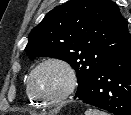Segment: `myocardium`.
Segmentation results:
<instances>
[{"mask_svg": "<svg viewBox=\"0 0 131 115\" xmlns=\"http://www.w3.org/2000/svg\"><path fill=\"white\" fill-rule=\"evenodd\" d=\"M49 65H55L60 67L66 74V85L64 89L55 97L53 98H42L38 94H36L33 90L32 86V80L34 75L43 67L49 66ZM77 85V75L75 72V69L73 66L66 60L59 58V57H49L41 62H39L29 73L27 81H26V87L27 91L30 94V96L35 99L38 103H40L43 106H55L64 101L66 98H68L74 91L75 87Z\"/></svg>", "mask_w": 131, "mask_h": 115, "instance_id": "f54148a6", "label": "myocardium"}]
</instances>
